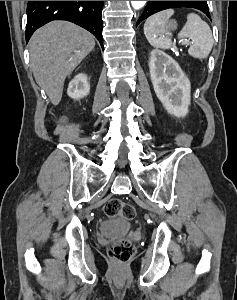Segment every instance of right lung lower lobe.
<instances>
[{
	"label": "right lung lower lobe",
	"instance_id": "98d812e1",
	"mask_svg": "<svg viewBox=\"0 0 237 300\" xmlns=\"http://www.w3.org/2000/svg\"><path fill=\"white\" fill-rule=\"evenodd\" d=\"M102 8L103 1H28L26 41L46 23L66 20L90 31L103 47Z\"/></svg>",
	"mask_w": 237,
	"mask_h": 300
}]
</instances>
